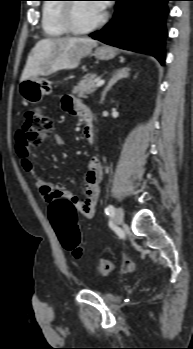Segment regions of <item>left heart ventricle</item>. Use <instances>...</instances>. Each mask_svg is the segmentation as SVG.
<instances>
[{
    "label": "left heart ventricle",
    "mask_w": 193,
    "mask_h": 349,
    "mask_svg": "<svg viewBox=\"0 0 193 349\" xmlns=\"http://www.w3.org/2000/svg\"><path fill=\"white\" fill-rule=\"evenodd\" d=\"M102 14L93 3L80 2L74 8L75 23L80 28L92 25Z\"/></svg>",
    "instance_id": "b2bd125f"
}]
</instances>
